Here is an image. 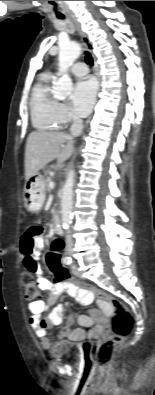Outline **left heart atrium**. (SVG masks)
<instances>
[{
  "mask_svg": "<svg viewBox=\"0 0 155 395\" xmlns=\"http://www.w3.org/2000/svg\"><path fill=\"white\" fill-rule=\"evenodd\" d=\"M97 89V82L93 78H86L76 83L72 94V105L78 115L86 116L91 111Z\"/></svg>",
  "mask_w": 155,
  "mask_h": 395,
  "instance_id": "obj_1",
  "label": "left heart atrium"
}]
</instances>
